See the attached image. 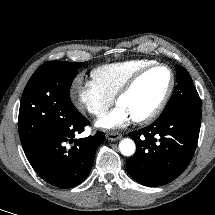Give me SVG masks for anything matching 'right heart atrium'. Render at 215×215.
Segmentation results:
<instances>
[{"label": "right heart atrium", "mask_w": 215, "mask_h": 215, "mask_svg": "<svg viewBox=\"0 0 215 215\" xmlns=\"http://www.w3.org/2000/svg\"><path fill=\"white\" fill-rule=\"evenodd\" d=\"M70 98L76 109L92 116H101L113 103L92 80L77 77L70 89Z\"/></svg>", "instance_id": "obj_1"}]
</instances>
